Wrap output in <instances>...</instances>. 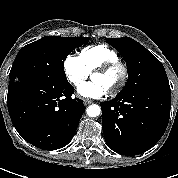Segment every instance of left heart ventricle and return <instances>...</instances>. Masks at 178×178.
<instances>
[{
    "label": "left heart ventricle",
    "instance_id": "obj_1",
    "mask_svg": "<svg viewBox=\"0 0 178 178\" xmlns=\"http://www.w3.org/2000/svg\"><path fill=\"white\" fill-rule=\"evenodd\" d=\"M120 79V72L113 70L107 73H95L92 75V80L102 83L108 91L114 88Z\"/></svg>",
    "mask_w": 178,
    "mask_h": 178
}]
</instances>
